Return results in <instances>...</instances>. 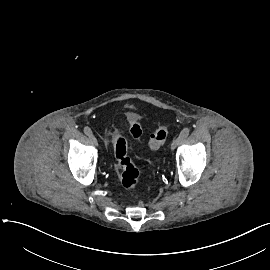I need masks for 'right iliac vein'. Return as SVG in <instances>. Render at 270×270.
<instances>
[{
  "label": "right iliac vein",
  "mask_w": 270,
  "mask_h": 270,
  "mask_svg": "<svg viewBox=\"0 0 270 270\" xmlns=\"http://www.w3.org/2000/svg\"><path fill=\"white\" fill-rule=\"evenodd\" d=\"M89 138H90L91 142H92L94 145H97V139H96V137H95L93 134H91V135L89 136Z\"/></svg>",
  "instance_id": "right-iliac-vein-1"
}]
</instances>
